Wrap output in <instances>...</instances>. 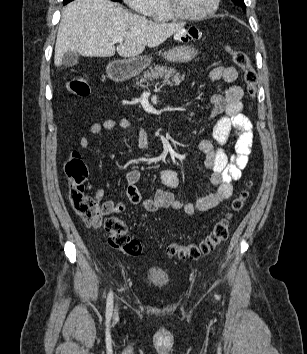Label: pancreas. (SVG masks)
<instances>
[{
    "label": "pancreas",
    "instance_id": "pancreas-1",
    "mask_svg": "<svg viewBox=\"0 0 307 354\" xmlns=\"http://www.w3.org/2000/svg\"><path fill=\"white\" fill-rule=\"evenodd\" d=\"M184 78L185 75H181L176 69L156 65L150 67L149 71L144 72L140 79L137 78L136 85L137 87H144L148 81L161 79L165 85L178 86Z\"/></svg>",
    "mask_w": 307,
    "mask_h": 354
}]
</instances>
